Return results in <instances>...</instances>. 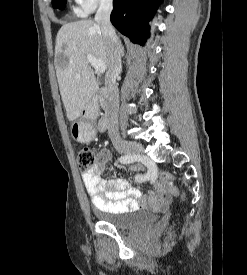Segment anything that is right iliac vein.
I'll return each instance as SVG.
<instances>
[{
    "label": "right iliac vein",
    "instance_id": "1",
    "mask_svg": "<svg viewBox=\"0 0 247 275\" xmlns=\"http://www.w3.org/2000/svg\"><path fill=\"white\" fill-rule=\"evenodd\" d=\"M119 150L126 154L139 155L143 153V147L135 142L124 141L121 143Z\"/></svg>",
    "mask_w": 247,
    "mask_h": 275
}]
</instances>
